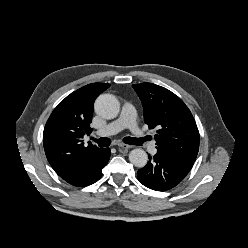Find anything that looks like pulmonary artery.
Segmentation results:
<instances>
[{"label":"pulmonary artery","mask_w":248,"mask_h":248,"mask_svg":"<svg viewBox=\"0 0 248 248\" xmlns=\"http://www.w3.org/2000/svg\"><path fill=\"white\" fill-rule=\"evenodd\" d=\"M124 128H129L136 138L146 142L148 151L151 154L156 153L157 150L155 143L149 142L147 138H144L141 128L136 123L135 107L129 102L124 103L120 117L115 121L99 128L96 131V135L110 136L122 131Z\"/></svg>","instance_id":"pulmonary-artery-1"}]
</instances>
